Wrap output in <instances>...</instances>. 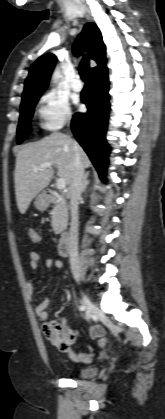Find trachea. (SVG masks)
Segmentation results:
<instances>
[{
  "label": "trachea",
  "instance_id": "trachea-1",
  "mask_svg": "<svg viewBox=\"0 0 165 419\" xmlns=\"http://www.w3.org/2000/svg\"><path fill=\"white\" fill-rule=\"evenodd\" d=\"M89 71V59L84 57L79 65V74L82 80H86Z\"/></svg>",
  "mask_w": 165,
  "mask_h": 419
}]
</instances>
